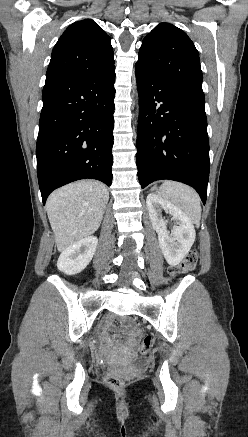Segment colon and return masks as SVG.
I'll return each instance as SVG.
<instances>
[{
	"label": "colon",
	"mask_w": 248,
	"mask_h": 437,
	"mask_svg": "<svg viewBox=\"0 0 248 437\" xmlns=\"http://www.w3.org/2000/svg\"><path fill=\"white\" fill-rule=\"evenodd\" d=\"M197 259V251L194 249L189 251L179 264L168 268V274L172 277H175L177 275L193 271L196 267ZM151 346L152 339L148 336L144 338V340L140 343L138 347V352L142 355H146L149 353ZM105 382L109 387L114 390H121L125 384L122 378L113 374H107L105 376Z\"/></svg>",
	"instance_id": "colon-1"
}]
</instances>
